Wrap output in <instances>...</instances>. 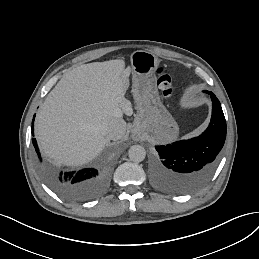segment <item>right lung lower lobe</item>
<instances>
[{
    "instance_id": "98d812e1",
    "label": "right lung lower lobe",
    "mask_w": 259,
    "mask_h": 259,
    "mask_svg": "<svg viewBox=\"0 0 259 259\" xmlns=\"http://www.w3.org/2000/svg\"><path fill=\"white\" fill-rule=\"evenodd\" d=\"M34 118L32 120V135L34 136ZM33 146L40 162L42 158L35 138ZM40 170L48 183L63 197L69 200L83 201L102 194L108 183V172L103 169L85 168L81 170L58 171L40 164Z\"/></svg>"
}]
</instances>
